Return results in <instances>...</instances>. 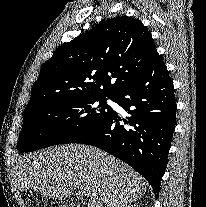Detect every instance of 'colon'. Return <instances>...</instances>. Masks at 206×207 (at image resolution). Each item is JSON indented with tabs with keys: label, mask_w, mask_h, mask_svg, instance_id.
<instances>
[{
	"label": "colon",
	"mask_w": 206,
	"mask_h": 207,
	"mask_svg": "<svg viewBox=\"0 0 206 207\" xmlns=\"http://www.w3.org/2000/svg\"><path fill=\"white\" fill-rule=\"evenodd\" d=\"M52 207H80V206L73 203H67V204H54Z\"/></svg>",
	"instance_id": "colon-1"
}]
</instances>
